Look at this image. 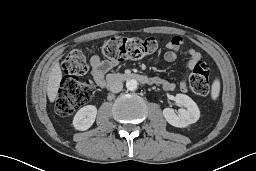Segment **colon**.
I'll list each match as a JSON object with an SVG mask.
<instances>
[{"instance_id":"obj_1","label":"colon","mask_w":256,"mask_h":171,"mask_svg":"<svg viewBox=\"0 0 256 171\" xmlns=\"http://www.w3.org/2000/svg\"><path fill=\"white\" fill-rule=\"evenodd\" d=\"M160 40L154 37H113L102 45V53L113 61L126 59H140L155 53ZM65 77L61 80L56 100V112L60 116H68L91 99L92 84L82 81L78 77L86 74L88 70L86 54L83 49L71 51L62 62ZM191 90L204 96L209 92V70L203 62H198L190 76Z\"/></svg>"}]
</instances>
